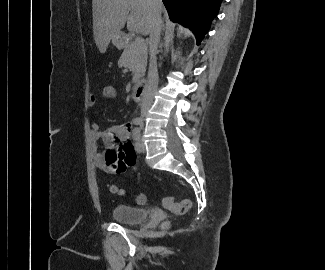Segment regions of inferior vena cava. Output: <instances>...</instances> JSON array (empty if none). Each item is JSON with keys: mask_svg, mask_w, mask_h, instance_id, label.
Here are the masks:
<instances>
[{"mask_svg": "<svg viewBox=\"0 0 325 270\" xmlns=\"http://www.w3.org/2000/svg\"><path fill=\"white\" fill-rule=\"evenodd\" d=\"M151 8V26H150V38H149V51H150V63L148 71V80L143 95L141 104V116H145L149 111L154 95L157 91L158 86V72H157V47L160 41V34L162 28L161 19V0H148Z\"/></svg>", "mask_w": 325, "mask_h": 270, "instance_id": "obj_1", "label": "inferior vena cava"}]
</instances>
